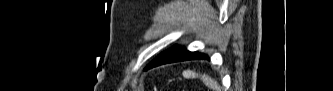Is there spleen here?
<instances>
[{
	"label": "spleen",
	"mask_w": 333,
	"mask_h": 91,
	"mask_svg": "<svg viewBox=\"0 0 333 91\" xmlns=\"http://www.w3.org/2000/svg\"><path fill=\"white\" fill-rule=\"evenodd\" d=\"M183 76L185 78H196L199 77L202 82L210 89H212L213 91H221V87L219 85V83L211 78L210 76L206 75V74H198L196 72L190 71V70H185L183 72Z\"/></svg>",
	"instance_id": "spleen-1"
}]
</instances>
